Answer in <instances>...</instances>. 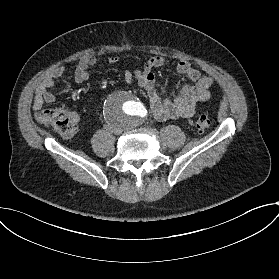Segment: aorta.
Returning <instances> with one entry per match:
<instances>
[{
	"instance_id": "aorta-1",
	"label": "aorta",
	"mask_w": 279,
	"mask_h": 279,
	"mask_svg": "<svg viewBox=\"0 0 279 279\" xmlns=\"http://www.w3.org/2000/svg\"><path fill=\"white\" fill-rule=\"evenodd\" d=\"M143 112V105L125 91L113 94L105 106L106 117L119 128L136 125L143 116Z\"/></svg>"
}]
</instances>
